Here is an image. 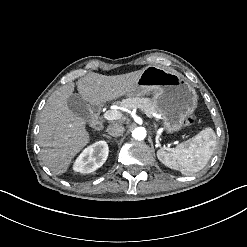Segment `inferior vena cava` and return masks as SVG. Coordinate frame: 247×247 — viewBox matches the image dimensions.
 <instances>
[{
  "label": "inferior vena cava",
  "instance_id": "inferior-vena-cava-1",
  "mask_svg": "<svg viewBox=\"0 0 247 247\" xmlns=\"http://www.w3.org/2000/svg\"><path fill=\"white\" fill-rule=\"evenodd\" d=\"M125 128L121 123L115 122L108 125L107 131L113 137L121 136Z\"/></svg>",
  "mask_w": 247,
  "mask_h": 247
}]
</instances>
